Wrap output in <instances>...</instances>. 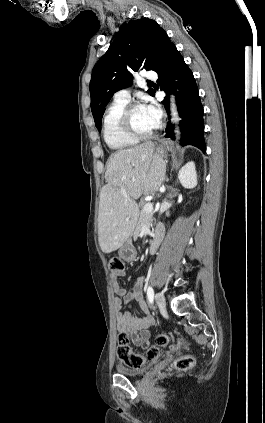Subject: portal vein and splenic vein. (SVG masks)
<instances>
[{"instance_id":"18ae733b","label":"portal vein and splenic vein","mask_w":265,"mask_h":423,"mask_svg":"<svg viewBox=\"0 0 265 423\" xmlns=\"http://www.w3.org/2000/svg\"><path fill=\"white\" fill-rule=\"evenodd\" d=\"M143 210H144L146 213H152V212H153V204H152L151 202H147V203L144 205Z\"/></svg>"}]
</instances>
